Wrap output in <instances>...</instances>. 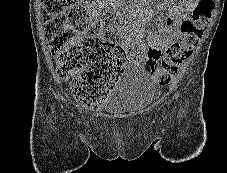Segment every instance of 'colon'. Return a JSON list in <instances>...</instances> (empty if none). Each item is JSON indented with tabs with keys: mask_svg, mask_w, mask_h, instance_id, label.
<instances>
[{
	"mask_svg": "<svg viewBox=\"0 0 227 173\" xmlns=\"http://www.w3.org/2000/svg\"><path fill=\"white\" fill-rule=\"evenodd\" d=\"M49 47L58 75L71 83L74 97L83 105L98 106L121 73L129 54L106 39L110 19L97 20L76 0H41ZM214 0H198L192 19L180 25V36L165 49L150 47L145 67L161 84L170 82L178 66L190 57L208 27Z\"/></svg>",
	"mask_w": 227,
	"mask_h": 173,
	"instance_id": "5ec220e1",
	"label": "colon"
}]
</instances>
